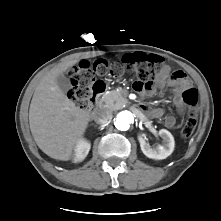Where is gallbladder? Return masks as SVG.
<instances>
[{
  "mask_svg": "<svg viewBox=\"0 0 221 221\" xmlns=\"http://www.w3.org/2000/svg\"><path fill=\"white\" fill-rule=\"evenodd\" d=\"M57 84L63 92H67L71 89V82L64 74H60L57 77Z\"/></svg>",
  "mask_w": 221,
  "mask_h": 221,
  "instance_id": "1",
  "label": "gallbladder"
}]
</instances>
